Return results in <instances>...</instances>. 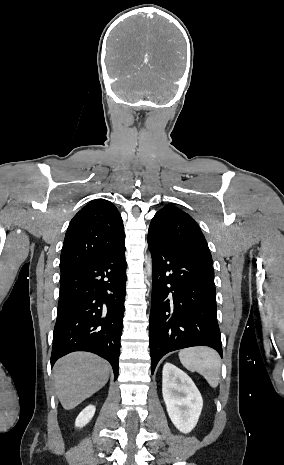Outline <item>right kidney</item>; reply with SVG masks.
I'll return each instance as SVG.
<instances>
[{
	"instance_id": "right-kidney-1",
	"label": "right kidney",
	"mask_w": 284,
	"mask_h": 465,
	"mask_svg": "<svg viewBox=\"0 0 284 465\" xmlns=\"http://www.w3.org/2000/svg\"><path fill=\"white\" fill-rule=\"evenodd\" d=\"M95 411L94 405H88L86 409H83V411L79 413L75 421V427H85V425L91 421L92 417H94Z\"/></svg>"
}]
</instances>
